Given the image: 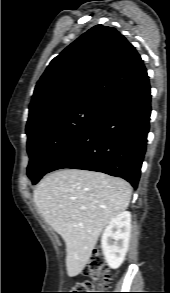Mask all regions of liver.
I'll list each match as a JSON object with an SVG mask.
<instances>
[{"instance_id":"1","label":"liver","mask_w":170,"mask_h":293,"mask_svg":"<svg viewBox=\"0 0 170 293\" xmlns=\"http://www.w3.org/2000/svg\"><path fill=\"white\" fill-rule=\"evenodd\" d=\"M131 193L121 178L80 169L58 170L36 186L39 212L66 244L68 276L82 272L101 232L128 207Z\"/></svg>"}]
</instances>
